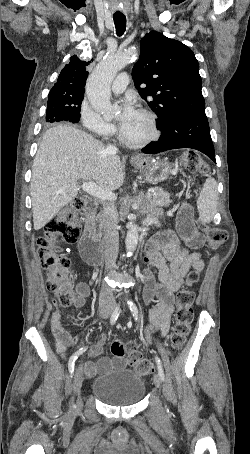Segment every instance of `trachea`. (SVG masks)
Returning a JSON list of instances; mask_svg holds the SVG:
<instances>
[{
  "label": "trachea",
  "mask_w": 250,
  "mask_h": 454,
  "mask_svg": "<svg viewBox=\"0 0 250 454\" xmlns=\"http://www.w3.org/2000/svg\"><path fill=\"white\" fill-rule=\"evenodd\" d=\"M116 28V34L122 36L126 30V17L124 15H116L113 17Z\"/></svg>",
  "instance_id": "obj_1"
}]
</instances>
